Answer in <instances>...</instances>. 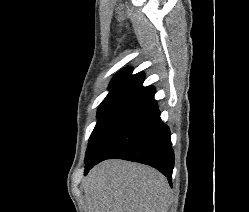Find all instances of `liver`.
Masks as SVG:
<instances>
[{
	"label": "liver",
	"instance_id": "obj_1",
	"mask_svg": "<svg viewBox=\"0 0 249 212\" xmlns=\"http://www.w3.org/2000/svg\"><path fill=\"white\" fill-rule=\"evenodd\" d=\"M85 212H168L169 184L157 170L105 160L85 176Z\"/></svg>",
	"mask_w": 249,
	"mask_h": 212
}]
</instances>
